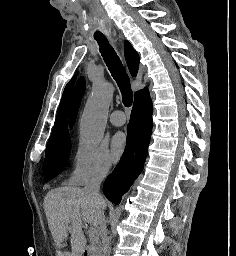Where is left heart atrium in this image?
I'll return each mask as SVG.
<instances>
[{
  "mask_svg": "<svg viewBox=\"0 0 236 256\" xmlns=\"http://www.w3.org/2000/svg\"><path fill=\"white\" fill-rule=\"evenodd\" d=\"M127 145V138L123 133H117L114 135L111 141L110 156L113 161L120 159L124 153Z\"/></svg>",
  "mask_w": 236,
  "mask_h": 256,
  "instance_id": "39dd6f15",
  "label": "left heart atrium"
}]
</instances>
